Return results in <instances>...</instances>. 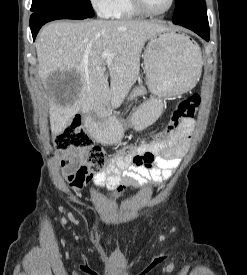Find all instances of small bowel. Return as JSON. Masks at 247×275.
Returning <instances> with one entry per match:
<instances>
[{
  "label": "small bowel",
  "mask_w": 247,
  "mask_h": 275,
  "mask_svg": "<svg viewBox=\"0 0 247 275\" xmlns=\"http://www.w3.org/2000/svg\"><path fill=\"white\" fill-rule=\"evenodd\" d=\"M193 126L192 119L185 120L181 128L169 138L140 145L133 156H115L104 170L97 173L88 171L81 154L63 151L56 157L61 175L74 191H81L89 185L113 190L121 184H132L136 187L150 182L159 184L168 179L179 166L180 157L188 147ZM135 156L141 160L136 161Z\"/></svg>",
  "instance_id": "1"
}]
</instances>
